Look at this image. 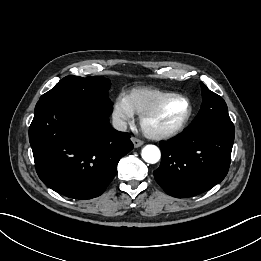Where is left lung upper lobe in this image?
<instances>
[{"instance_id":"1","label":"left lung upper lobe","mask_w":261,"mask_h":261,"mask_svg":"<svg viewBox=\"0 0 261 261\" xmlns=\"http://www.w3.org/2000/svg\"><path fill=\"white\" fill-rule=\"evenodd\" d=\"M201 88L203 97L201 109L187 128L232 123L225 101L219 95L210 91L202 82Z\"/></svg>"}]
</instances>
